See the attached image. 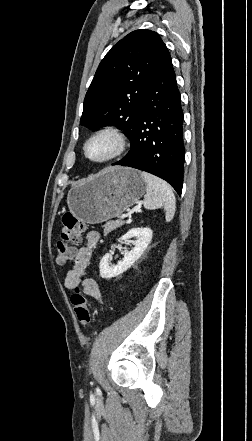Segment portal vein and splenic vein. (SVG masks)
Wrapping results in <instances>:
<instances>
[{
	"label": "portal vein and splenic vein",
	"instance_id": "portal-vein-and-splenic-vein-1",
	"mask_svg": "<svg viewBox=\"0 0 252 441\" xmlns=\"http://www.w3.org/2000/svg\"><path fill=\"white\" fill-rule=\"evenodd\" d=\"M125 218H127V215H126V214H123V215L121 216V219H125Z\"/></svg>",
	"mask_w": 252,
	"mask_h": 441
}]
</instances>
